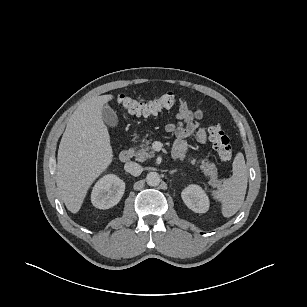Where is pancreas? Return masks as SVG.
<instances>
[{"label": "pancreas", "instance_id": "pancreas-1", "mask_svg": "<svg viewBox=\"0 0 307 307\" xmlns=\"http://www.w3.org/2000/svg\"><path fill=\"white\" fill-rule=\"evenodd\" d=\"M150 141L144 140L142 144L139 146L140 149L135 152V157L137 161L143 162L147 159H150L155 156V152L149 146ZM183 160V158L181 159ZM189 161L192 165L199 163L195 158H189ZM201 165L200 169L204 172L206 176L210 178V185L214 187H219L221 185V180L218 179L217 168L214 163H210V161L205 158L200 161Z\"/></svg>", "mask_w": 307, "mask_h": 307}]
</instances>
